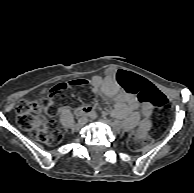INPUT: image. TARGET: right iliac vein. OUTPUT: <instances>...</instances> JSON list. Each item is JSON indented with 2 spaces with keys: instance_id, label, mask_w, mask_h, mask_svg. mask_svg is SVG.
Segmentation results:
<instances>
[{
  "instance_id": "63e3f726",
  "label": "right iliac vein",
  "mask_w": 194,
  "mask_h": 193,
  "mask_svg": "<svg viewBox=\"0 0 194 193\" xmlns=\"http://www.w3.org/2000/svg\"><path fill=\"white\" fill-rule=\"evenodd\" d=\"M84 124H85V120H84L83 122H78V123H76V124L73 126V129H74L75 131H79V130L83 127Z\"/></svg>"
}]
</instances>
